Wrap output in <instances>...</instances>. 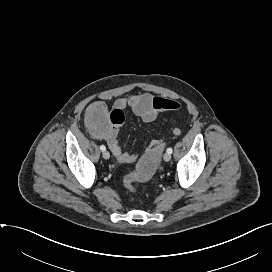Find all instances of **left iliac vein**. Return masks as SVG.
Masks as SVG:
<instances>
[{
    "mask_svg": "<svg viewBox=\"0 0 272 272\" xmlns=\"http://www.w3.org/2000/svg\"><path fill=\"white\" fill-rule=\"evenodd\" d=\"M163 159H164V161H166V162H168V161H170L171 160V154H169V153H165L164 154V156H163Z\"/></svg>",
    "mask_w": 272,
    "mask_h": 272,
    "instance_id": "4c4485c4",
    "label": "left iliac vein"
}]
</instances>
